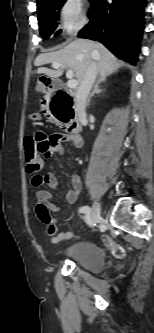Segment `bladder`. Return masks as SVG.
Listing matches in <instances>:
<instances>
[{
	"label": "bladder",
	"mask_w": 154,
	"mask_h": 333,
	"mask_svg": "<svg viewBox=\"0 0 154 333\" xmlns=\"http://www.w3.org/2000/svg\"><path fill=\"white\" fill-rule=\"evenodd\" d=\"M66 257L81 268L90 272H100L105 263L102 249L93 243L77 244L70 248Z\"/></svg>",
	"instance_id": "bladder-1"
}]
</instances>
